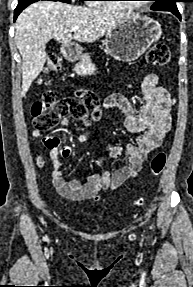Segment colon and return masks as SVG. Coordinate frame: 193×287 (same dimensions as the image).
Returning <instances> with one entry per match:
<instances>
[{"label":"colon","instance_id":"colon-1","mask_svg":"<svg viewBox=\"0 0 193 287\" xmlns=\"http://www.w3.org/2000/svg\"><path fill=\"white\" fill-rule=\"evenodd\" d=\"M170 59V50L166 44H154L147 54V61L150 65L161 67L166 65ZM61 62L57 54L51 53L48 56L44 69V77L57 73L60 70ZM99 99L93 92L78 91L75 97L56 100L53 93H46L41 100L35 102L32 107L34 126L40 131H46L54 127L58 120L64 115L81 120L88 124L91 119L99 117ZM60 146V144H59ZM166 156L158 153L151 162V170L158 175L164 168ZM143 203L142 199L137 201V205Z\"/></svg>","mask_w":193,"mask_h":287}]
</instances>
